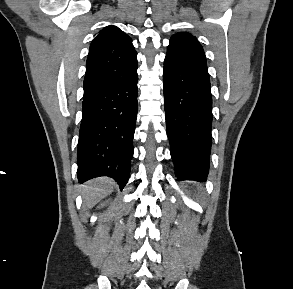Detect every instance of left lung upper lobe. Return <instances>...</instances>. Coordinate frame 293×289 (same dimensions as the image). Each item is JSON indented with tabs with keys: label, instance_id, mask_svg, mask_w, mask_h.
Here are the masks:
<instances>
[{
	"label": "left lung upper lobe",
	"instance_id": "left-lung-upper-lobe-1",
	"mask_svg": "<svg viewBox=\"0 0 293 289\" xmlns=\"http://www.w3.org/2000/svg\"><path fill=\"white\" fill-rule=\"evenodd\" d=\"M167 56L206 65V57L202 46L193 35L186 32L176 33L171 37Z\"/></svg>",
	"mask_w": 293,
	"mask_h": 289
}]
</instances>
